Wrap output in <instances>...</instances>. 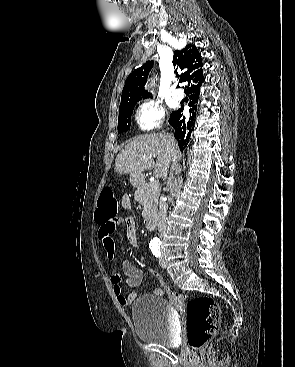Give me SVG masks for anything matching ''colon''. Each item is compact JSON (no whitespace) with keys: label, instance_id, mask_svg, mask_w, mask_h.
Here are the masks:
<instances>
[{"label":"colon","instance_id":"5ec220e1","mask_svg":"<svg viewBox=\"0 0 295 367\" xmlns=\"http://www.w3.org/2000/svg\"><path fill=\"white\" fill-rule=\"evenodd\" d=\"M116 214L117 202L113 191L111 188L105 187L99 197L96 220L99 223L109 222L116 218ZM153 274L164 289L169 290L161 275L157 272H153ZM186 313L188 344L191 348L200 350L218 331L220 322L219 305L211 297L194 295L188 297Z\"/></svg>","mask_w":295,"mask_h":367}]
</instances>
